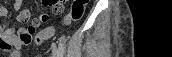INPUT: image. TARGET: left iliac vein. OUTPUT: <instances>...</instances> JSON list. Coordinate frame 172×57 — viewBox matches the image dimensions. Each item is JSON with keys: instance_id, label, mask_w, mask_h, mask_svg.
Segmentation results:
<instances>
[{"instance_id": "1", "label": "left iliac vein", "mask_w": 172, "mask_h": 57, "mask_svg": "<svg viewBox=\"0 0 172 57\" xmlns=\"http://www.w3.org/2000/svg\"><path fill=\"white\" fill-rule=\"evenodd\" d=\"M53 57H59V53L56 47L53 48Z\"/></svg>"}]
</instances>
